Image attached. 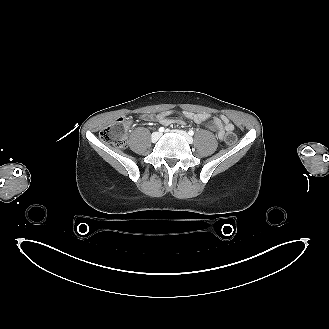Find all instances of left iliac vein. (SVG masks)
Listing matches in <instances>:
<instances>
[{"label": "left iliac vein", "mask_w": 329, "mask_h": 329, "mask_svg": "<svg viewBox=\"0 0 329 329\" xmlns=\"http://www.w3.org/2000/svg\"><path fill=\"white\" fill-rule=\"evenodd\" d=\"M176 133L182 135L187 140L188 143H192L193 142L192 137L189 136L186 132L181 131V130H176Z\"/></svg>", "instance_id": "1"}]
</instances>
